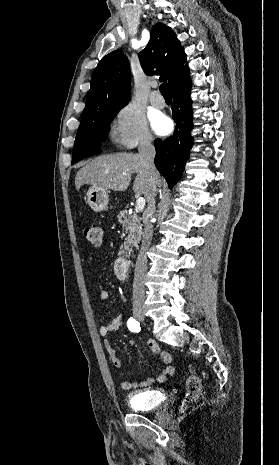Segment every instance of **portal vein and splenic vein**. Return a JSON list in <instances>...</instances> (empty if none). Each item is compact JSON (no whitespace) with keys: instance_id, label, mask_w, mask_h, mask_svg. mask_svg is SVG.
I'll use <instances>...</instances> for the list:
<instances>
[{"instance_id":"obj_1","label":"portal vein and splenic vein","mask_w":279,"mask_h":465,"mask_svg":"<svg viewBox=\"0 0 279 465\" xmlns=\"http://www.w3.org/2000/svg\"><path fill=\"white\" fill-rule=\"evenodd\" d=\"M145 207V199L143 197H139L136 200L135 211L136 213L141 212Z\"/></svg>"}]
</instances>
